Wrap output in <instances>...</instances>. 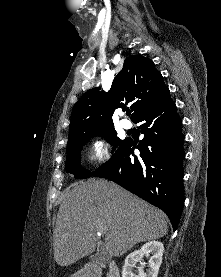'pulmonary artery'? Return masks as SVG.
Instances as JSON below:
<instances>
[{
	"instance_id": "pulmonary-artery-1",
	"label": "pulmonary artery",
	"mask_w": 221,
	"mask_h": 277,
	"mask_svg": "<svg viewBox=\"0 0 221 277\" xmlns=\"http://www.w3.org/2000/svg\"><path fill=\"white\" fill-rule=\"evenodd\" d=\"M121 126L125 129H130L131 123L128 120L123 119V120H121Z\"/></svg>"
}]
</instances>
